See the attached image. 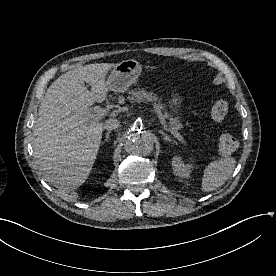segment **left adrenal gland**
<instances>
[{
    "label": "left adrenal gland",
    "instance_id": "1",
    "mask_svg": "<svg viewBox=\"0 0 276 276\" xmlns=\"http://www.w3.org/2000/svg\"><path fill=\"white\" fill-rule=\"evenodd\" d=\"M159 133H161L164 136V140L172 143H176L174 140L171 139L170 136H168L164 131L160 130Z\"/></svg>",
    "mask_w": 276,
    "mask_h": 276
}]
</instances>
